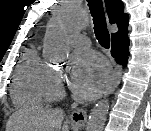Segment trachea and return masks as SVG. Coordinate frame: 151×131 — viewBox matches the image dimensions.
Wrapping results in <instances>:
<instances>
[{"instance_id":"obj_1","label":"trachea","mask_w":151,"mask_h":131,"mask_svg":"<svg viewBox=\"0 0 151 131\" xmlns=\"http://www.w3.org/2000/svg\"><path fill=\"white\" fill-rule=\"evenodd\" d=\"M91 16L93 17L94 33L99 44L108 49L110 35L107 29L106 18L102 0H87Z\"/></svg>"}]
</instances>
